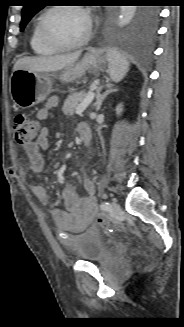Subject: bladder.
I'll list each match as a JSON object with an SVG mask.
<instances>
[{
	"mask_svg": "<svg viewBox=\"0 0 184 327\" xmlns=\"http://www.w3.org/2000/svg\"><path fill=\"white\" fill-rule=\"evenodd\" d=\"M70 250L82 261L102 264L109 256L103 236L94 230H87L74 237Z\"/></svg>",
	"mask_w": 184,
	"mask_h": 327,
	"instance_id": "bladder-1",
	"label": "bladder"
}]
</instances>
